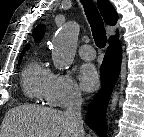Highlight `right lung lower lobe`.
<instances>
[{
	"mask_svg": "<svg viewBox=\"0 0 144 137\" xmlns=\"http://www.w3.org/2000/svg\"><path fill=\"white\" fill-rule=\"evenodd\" d=\"M122 61V50L118 39L109 42V47L105 53L100 67V77L102 82L101 90L91 101L86 121L100 137H106L107 125L105 122L106 108L112 89L118 79Z\"/></svg>",
	"mask_w": 144,
	"mask_h": 137,
	"instance_id": "98d812e1",
	"label": "right lung lower lobe"
}]
</instances>
